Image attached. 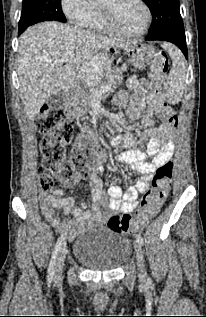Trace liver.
<instances>
[{"mask_svg": "<svg viewBox=\"0 0 206 317\" xmlns=\"http://www.w3.org/2000/svg\"><path fill=\"white\" fill-rule=\"evenodd\" d=\"M135 42L106 37L59 22L28 28L19 39L18 77L26 114L34 121L42 105L57 92H68L81 66L110 47L126 48ZM73 59L59 61L65 53Z\"/></svg>", "mask_w": 206, "mask_h": 317, "instance_id": "liver-1", "label": "liver"}]
</instances>
